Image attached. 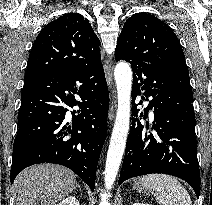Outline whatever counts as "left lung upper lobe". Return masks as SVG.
<instances>
[{"mask_svg":"<svg viewBox=\"0 0 212 205\" xmlns=\"http://www.w3.org/2000/svg\"><path fill=\"white\" fill-rule=\"evenodd\" d=\"M115 59L125 60L131 67L160 61L187 69L183 50L172 29L147 13H137L126 20L117 41Z\"/></svg>","mask_w":212,"mask_h":205,"instance_id":"5c2ea615","label":"left lung upper lobe"}]
</instances>
